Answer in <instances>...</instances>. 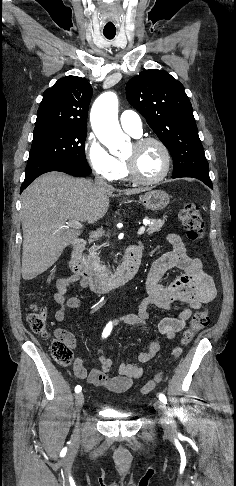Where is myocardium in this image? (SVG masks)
<instances>
[{
	"mask_svg": "<svg viewBox=\"0 0 236 486\" xmlns=\"http://www.w3.org/2000/svg\"><path fill=\"white\" fill-rule=\"evenodd\" d=\"M150 143L156 144L161 149L163 156H164V168H163L162 172L158 176H156L155 178L145 179V178H142L141 176L138 175L133 162L131 160L127 159V158H124L127 176L131 181H133L137 184H141V185L157 184L167 177V175L169 174L170 169H171L172 157H171L170 150L168 149L166 144L163 141H161L160 139L155 138V137H143V138L137 139L133 143V145L135 147L139 148V147H142V146L150 144Z\"/></svg>",
	"mask_w": 236,
	"mask_h": 486,
	"instance_id": "myocardium-1",
	"label": "myocardium"
}]
</instances>
